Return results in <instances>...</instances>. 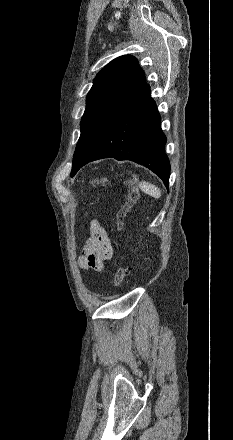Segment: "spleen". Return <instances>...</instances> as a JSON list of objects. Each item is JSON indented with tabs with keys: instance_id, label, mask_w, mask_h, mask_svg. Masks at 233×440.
Listing matches in <instances>:
<instances>
[{
	"instance_id": "1",
	"label": "spleen",
	"mask_w": 233,
	"mask_h": 440,
	"mask_svg": "<svg viewBox=\"0 0 233 440\" xmlns=\"http://www.w3.org/2000/svg\"><path fill=\"white\" fill-rule=\"evenodd\" d=\"M139 188L146 194L152 196L155 199H158L161 197V190L155 186L154 184H151L149 182L141 181L139 183Z\"/></svg>"
}]
</instances>
